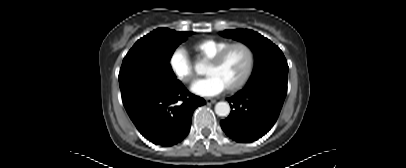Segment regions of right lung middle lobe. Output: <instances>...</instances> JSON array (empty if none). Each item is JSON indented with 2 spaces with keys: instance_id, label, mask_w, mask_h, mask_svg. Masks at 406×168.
Segmentation results:
<instances>
[{
  "instance_id": "dd1d6c3e",
  "label": "right lung middle lobe",
  "mask_w": 406,
  "mask_h": 168,
  "mask_svg": "<svg viewBox=\"0 0 406 168\" xmlns=\"http://www.w3.org/2000/svg\"><path fill=\"white\" fill-rule=\"evenodd\" d=\"M189 34L158 28L134 44L123 60L118 77L125 107L178 81L169 59Z\"/></svg>"
}]
</instances>
